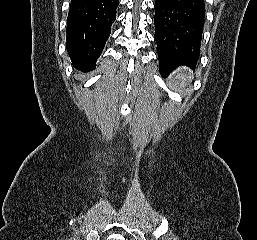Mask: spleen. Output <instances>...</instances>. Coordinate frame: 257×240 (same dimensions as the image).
Segmentation results:
<instances>
[{
	"mask_svg": "<svg viewBox=\"0 0 257 240\" xmlns=\"http://www.w3.org/2000/svg\"><path fill=\"white\" fill-rule=\"evenodd\" d=\"M181 74H179L178 81L182 86L190 85L189 83L192 81L193 75L191 73L187 74L183 69L180 70Z\"/></svg>",
	"mask_w": 257,
	"mask_h": 240,
	"instance_id": "3e777b00",
	"label": "spleen"
}]
</instances>
